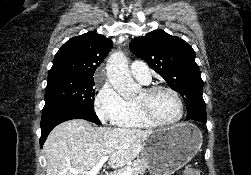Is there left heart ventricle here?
Here are the masks:
<instances>
[{
  "label": "left heart ventricle",
  "mask_w": 251,
  "mask_h": 175,
  "mask_svg": "<svg viewBox=\"0 0 251 175\" xmlns=\"http://www.w3.org/2000/svg\"><path fill=\"white\" fill-rule=\"evenodd\" d=\"M135 103L151 111L163 123H175L181 116V107L176 96L167 90L153 94H148L143 90Z\"/></svg>",
  "instance_id": "obj_1"
}]
</instances>
